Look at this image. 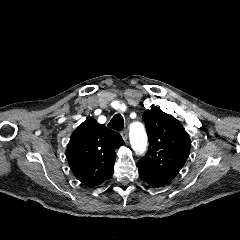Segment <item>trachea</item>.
Listing matches in <instances>:
<instances>
[{"instance_id":"obj_1","label":"trachea","mask_w":240,"mask_h":240,"mask_svg":"<svg viewBox=\"0 0 240 240\" xmlns=\"http://www.w3.org/2000/svg\"><path fill=\"white\" fill-rule=\"evenodd\" d=\"M108 127L117 131H121L124 128V119L121 114H116L108 123Z\"/></svg>"}]
</instances>
